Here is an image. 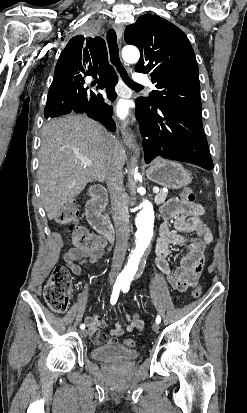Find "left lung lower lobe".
I'll use <instances>...</instances> for the list:
<instances>
[{"label":"left lung lower lobe","mask_w":247,"mask_h":413,"mask_svg":"<svg viewBox=\"0 0 247 413\" xmlns=\"http://www.w3.org/2000/svg\"><path fill=\"white\" fill-rule=\"evenodd\" d=\"M135 115L141 135L146 137L143 140L146 163L161 156L213 169L201 113L179 106H159L156 110L137 107Z\"/></svg>","instance_id":"0a47b994"}]
</instances>
